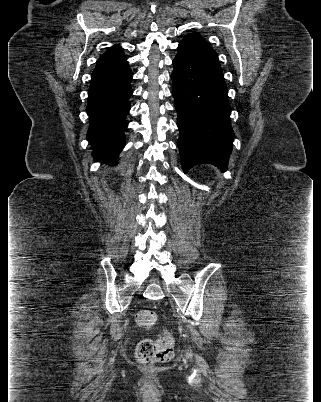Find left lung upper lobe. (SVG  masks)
<instances>
[{"mask_svg":"<svg viewBox=\"0 0 321 402\" xmlns=\"http://www.w3.org/2000/svg\"><path fill=\"white\" fill-rule=\"evenodd\" d=\"M183 40H200V41L206 42L201 36H199L197 34H193V33L185 36Z\"/></svg>","mask_w":321,"mask_h":402,"instance_id":"obj_1","label":"left lung upper lobe"}]
</instances>
